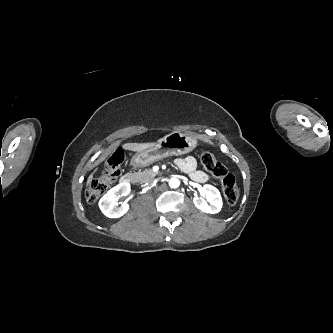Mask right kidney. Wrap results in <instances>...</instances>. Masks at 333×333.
I'll list each match as a JSON object with an SVG mask.
<instances>
[{
	"label": "right kidney",
	"mask_w": 333,
	"mask_h": 333,
	"mask_svg": "<svg viewBox=\"0 0 333 333\" xmlns=\"http://www.w3.org/2000/svg\"><path fill=\"white\" fill-rule=\"evenodd\" d=\"M130 183L122 182L111 188L99 201V208L102 213L109 218H119L123 216L129 209L127 202L121 203L118 206L117 200L121 196H126L130 193Z\"/></svg>",
	"instance_id": "right-kidney-1"
}]
</instances>
